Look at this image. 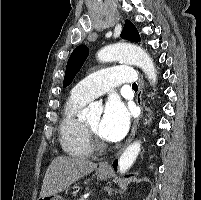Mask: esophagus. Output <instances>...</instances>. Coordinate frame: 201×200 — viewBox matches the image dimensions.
<instances>
[{
	"mask_svg": "<svg viewBox=\"0 0 201 200\" xmlns=\"http://www.w3.org/2000/svg\"><path fill=\"white\" fill-rule=\"evenodd\" d=\"M138 85H139V89H138L136 101L141 109V112H140L139 116L134 119L130 135H129L128 139L126 140L125 144L122 146V148L115 154V158H117L121 154V152L126 148L127 145H129V143L134 138L139 121L141 120V118L143 117V114H144V106H143L144 82H143V77L141 75H139ZM100 168L101 169H109L110 165L107 161H105L100 164Z\"/></svg>",
	"mask_w": 201,
	"mask_h": 200,
	"instance_id": "esophagus-1",
	"label": "esophagus"
}]
</instances>
